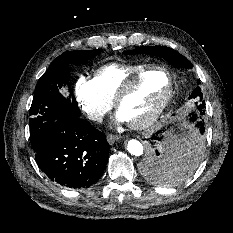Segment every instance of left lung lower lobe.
Listing matches in <instances>:
<instances>
[{
	"label": "left lung lower lobe",
	"instance_id": "obj_1",
	"mask_svg": "<svg viewBox=\"0 0 233 233\" xmlns=\"http://www.w3.org/2000/svg\"><path fill=\"white\" fill-rule=\"evenodd\" d=\"M196 127L199 129L201 134L204 133L205 127H204V121L202 120V118H199V120L196 121ZM163 138L164 136L162 135V131H158L155 135H153L150 138V143L152 145L159 144L160 142L163 141ZM158 156H160V152L158 150H155V152L151 154L148 160V164H147L149 169L150 168L152 169L155 166ZM170 181H172L170 178L165 180V182H170Z\"/></svg>",
	"mask_w": 233,
	"mask_h": 233
}]
</instances>
